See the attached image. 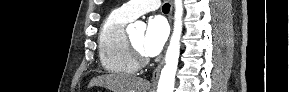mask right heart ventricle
<instances>
[{"label":"right heart ventricle","instance_id":"right-heart-ventricle-1","mask_svg":"<svg viewBox=\"0 0 289 92\" xmlns=\"http://www.w3.org/2000/svg\"><path fill=\"white\" fill-rule=\"evenodd\" d=\"M132 19L119 10L112 11L103 21L99 36V59L103 69L113 74H133L138 65L128 48L125 27Z\"/></svg>","mask_w":289,"mask_h":92}]
</instances>
